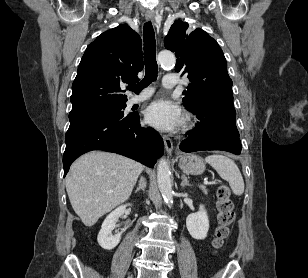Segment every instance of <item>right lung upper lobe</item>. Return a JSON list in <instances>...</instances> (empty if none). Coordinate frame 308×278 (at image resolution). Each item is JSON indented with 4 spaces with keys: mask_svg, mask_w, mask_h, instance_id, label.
I'll list each match as a JSON object with an SVG mask.
<instances>
[{
    "mask_svg": "<svg viewBox=\"0 0 308 278\" xmlns=\"http://www.w3.org/2000/svg\"><path fill=\"white\" fill-rule=\"evenodd\" d=\"M143 66L141 38L129 26L119 25L99 35L79 64L69 117L126 103L121 86L137 80Z\"/></svg>",
    "mask_w": 308,
    "mask_h": 278,
    "instance_id": "cb5924a9",
    "label": "right lung upper lobe"
}]
</instances>
